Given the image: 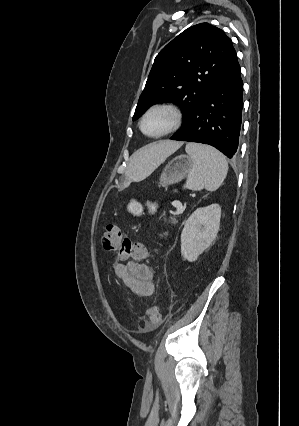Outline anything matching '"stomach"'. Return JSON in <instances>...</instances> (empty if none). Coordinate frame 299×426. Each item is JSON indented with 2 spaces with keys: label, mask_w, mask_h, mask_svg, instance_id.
I'll use <instances>...</instances> for the list:
<instances>
[{
  "label": "stomach",
  "mask_w": 299,
  "mask_h": 426,
  "mask_svg": "<svg viewBox=\"0 0 299 426\" xmlns=\"http://www.w3.org/2000/svg\"><path fill=\"white\" fill-rule=\"evenodd\" d=\"M192 169L193 161L190 156H177L165 166L159 184L160 186L167 187L170 184L179 182L188 176Z\"/></svg>",
  "instance_id": "obj_1"
}]
</instances>
